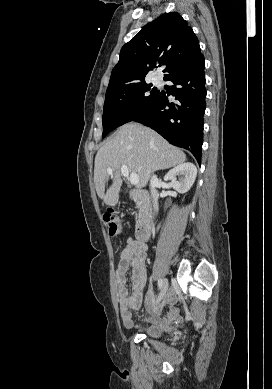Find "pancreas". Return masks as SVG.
Segmentation results:
<instances>
[{
    "label": "pancreas",
    "instance_id": "pancreas-1",
    "mask_svg": "<svg viewBox=\"0 0 272 389\" xmlns=\"http://www.w3.org/2000/svg\"><path fill=\"white\" fill-rule=\"evenodd\" d=\"M139 207V206H138ZM142 216V208H140V212H139V215L138 217L140 218Z\"/></svg>",
    "mask_w": 272,
    "mask_h": 389
}]
</instances>
